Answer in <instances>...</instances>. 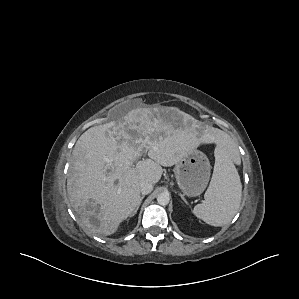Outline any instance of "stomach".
I'll return each mask as SVG.
<instances>
[{
  "mask_svg": "<svg viewBox=\"0 0 299 299\" xmlns=\"http://www.w3.org/2000/svg\"><path fill=\"white\" fill-rule=\"evenodd\" d=\"M210 170L207 156L194 150L176 164L174 173L181 191L189 197H195L207 187Z\"/></svg>",
  "mask_w": 299,
  "mask_h": 299,
  "instance_id": "stomach-1",
  "label": "stomach"
}]
</instances>
